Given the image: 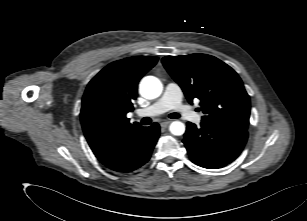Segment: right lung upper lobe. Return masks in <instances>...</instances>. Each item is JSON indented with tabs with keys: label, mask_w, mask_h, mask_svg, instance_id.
I'll return each instance as SVG.
<instances>
[{
	"label": "right lung upper lobe",
	"mask_w": 307,
	"mask_h": 221,
	"mask_svg": "<svg viewBox=\"0 0 307 221\" xmlns=\"http://www.w3.org/2000/svg\"><path fill=\"white\" fill-rule=\"evenodd\" d=\"M158 61L157 57L135 56L115 61L88 84L82 99L81 124L97 158L104 156L142 127L129 123L138 82Z\"/></svg>",
	"instance_id": "cb5924a9"
}]
</instances>
